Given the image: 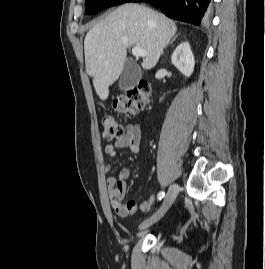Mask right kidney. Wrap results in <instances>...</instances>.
<instances>
[{
  "instance_id": "right-kidney-1",
  "label": "right kidney",
  "mask_w": 265,
  "mask_h": 269,
  "mask_svg": "<svg viewBox=\"0 0 265 269\" xmlns=\"http://www.w3.org/2000/svg\"><path fill=\"white\" fill-rule=\"evenodd\" d=\"M171 62L183 75L186 77L191 76L195 59L188 42H183L176 47L172 54Z\"/></svg>"
}]
</instances>
